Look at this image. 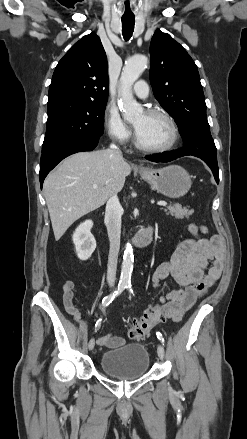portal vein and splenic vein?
I'll use <instances>...</instances> for the list:
<instances>
[{"mask_svg": "<svg viewBox=\"0 0 247 439\" xmlns=\"http://www.w3.org/2000/svg\"><path fill=\"white\" fill-rule=\"evenodd\" d=\"M93 188L94 189H96V188H98V185H93ZM157 205H159V206H167V202H165V201H159V202H157Z\"/></svg>", "mask_w": 247, "mask_h": 439, "instance_id": "obj_1", "label": "portal vein and splenic vein"}]
</instances>
